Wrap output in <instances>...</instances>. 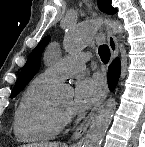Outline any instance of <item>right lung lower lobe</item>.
<instances>
[{"label":"right lung lower lobe","mask_w":145,"mask_h":147,"mask_svg":"<svg viewBox=\"0 0 145 147\" xmlns=\"http://www.w3.org/2000/svg\"><path fill=\"white\" fill-rule=\"evenodd\" d=\"M120 62L118 59L113 61V63L109 66L108 69V81L109 87L113 90L118 82L119 75H120Z\"/></svg>","instance_id":"98d812e1"}]
</instances>
